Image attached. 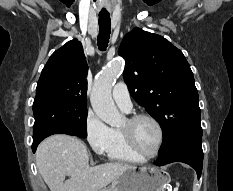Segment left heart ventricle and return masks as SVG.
<instances>
[{"label":"left heart ventricle","instance_id":"left-heart-ventricle-1","mask_svg":"<svg viewBox=\"0 0 233 191\" xmlns=\"http://www.w3.org/2000/svg\"><path fill=\"white\" fill-rule=\"evenodd\" d=\"M127 121L122 126L127 128ZM133 135L139 149L147 155L155 152L158 144V131L156 126L149 120L142 119L133 126Z\"/></svg>","mask_w":233,"mask_h":191}]
</instances>
